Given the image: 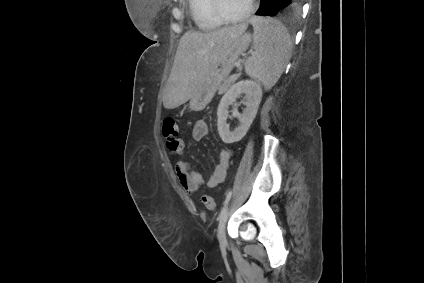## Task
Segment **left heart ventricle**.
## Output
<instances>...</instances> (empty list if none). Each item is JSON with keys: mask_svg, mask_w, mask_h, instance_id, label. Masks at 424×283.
Returning <instances> with one entry per match:
<instances>
[{"mask_svg": "<svg viewBox=\"0 0 424 283\" xmlns=\"http://www.w3.org/2000/svg\"><path fill=\"white\" fill-rule=\"evenodd\" d=\"M250 0H222L224 12L231 17L240 16L249 7Z\"/></svg>", "mask_w": 424, "mask_h": 283, "instance_id": "1", "label": "left heart ventricle"}]
</instances>
